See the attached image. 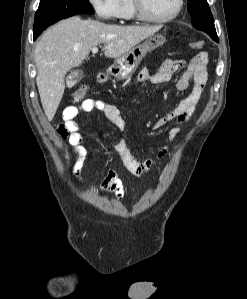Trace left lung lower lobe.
Here are the masks:
<instances>
[{
  "label": "left lung lower lobe",
  "instance_id": "obj_1",
  "mask_svg": "<svg viewBox=\"0 0 247 299\" xmlns=\"http://www.w3.org/2000/svg\"><path fill=\"white\" fill-rule=\"evenodd\" d=\"M212 39H213L214 41H216V42H219L218 37H212Z\"/></svg>",
  "mask_w": 247,
  "mask_h": 299
}]
</instances>
